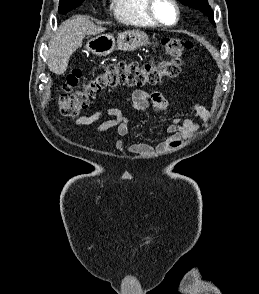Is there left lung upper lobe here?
<instances>
[{"instance_id": "5c2ea615", "label": "left lung upper lobe", "mask_w": 259, "mask_h": 294, "mask_svg": "<svg viewBox=\"0 0 259 294\" xmlns=\"http://www.w3.org/2000/svg\"><path fill=\"white\" fill-rule=\"evenodd\" d=\"M182 4L201 11L209 17V21L215 26L214 15L208 0H179Z\"/></svg>"}]
</instances>
